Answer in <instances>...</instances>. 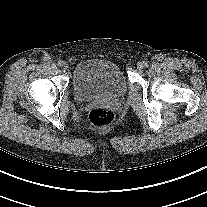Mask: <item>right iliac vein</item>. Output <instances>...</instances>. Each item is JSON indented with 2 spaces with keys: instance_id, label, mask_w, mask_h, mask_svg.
<instances>
[{
  "instance_id": "1",
  "label": "right iliac vein",
  "mask_w": 207,
  "mask_h": 207,
  "mask_svg": "<svg viewBox=\"0 0 207 207\" xmlns=\"http://www.w3.org/2000/svg\"><path fill=\"white\" fill-rule=\"evenodd\" d=\"M61 68H62V71H63V72H66V71L68 70V65L64 63V64L61 66Z\"/></svg>"
}]
</instances>
